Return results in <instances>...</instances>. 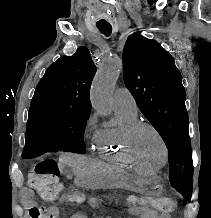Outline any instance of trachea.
I'll list each match as a JSON object with an SVG mask.
<instances>
[{"label": "trachea", "instance_id": "3493384b", "mask_svg": "<svg viewBox=\"0 0 211 218\" xmlns=\"http://www.w3.org/2000/svg\"><path fill=\"white\" fill-rule=\"evenodd\" d=\"M97 28L106 37H109V35H111V32H112V26L111 25H97Z\"/></svg>", "mask_w": 211, "mask_h": 218}]
</instances>
